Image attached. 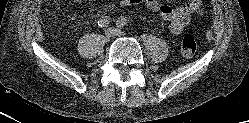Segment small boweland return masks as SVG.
Returning a JSON list of instances; mask_svg holds the SVG:
<instances>
[{
	"instance_id": "obj_1",
	"label": "small bowel",
	"mask_w": 249,
	"mask_h": 123,
	"mask_svg": "<svg viewBox=\"0 0 249 123\" xmlns=\"http://www.w3.org/2000/svg\"><path fill=\"white\" fill-rule=\"evenodd\" d=\"M134 5H144L152 12H157L169 23L172 33L180 34L189 24L194 15L203 14L202 0H189L186 4L173 8L172 6L160 2V0H120V7Z\"/></svg>"
}]
</instances>
